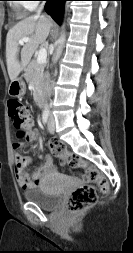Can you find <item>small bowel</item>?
<instances>
[{
  "label": "small bowel",
  "instance_id": "obj_1",
  "mask_svg": "<svg viewBox=\"0 0 133 253\" xmlns=\"http://www.w3.org/2000/svg\"><path fill=\"white\" fill-rule=\"evenodd\" d=\"M40 139L38 132L30 130L28 135L22 142H15L13 149L15 151L14 159V171L18 185L23 189H31L39 186L43 177L46 174L55 172V166L52 163V158L49 155L45 156V162L39 166L32 175H28L25 171L26 167L30 163V158L23 156L19 153V150L26 147L29 143L36 142Z\"/></svg>",
  "mask_w": 133,
  "mask_h": 253
}]
</instances>
